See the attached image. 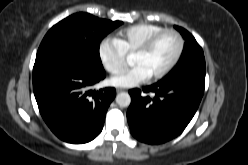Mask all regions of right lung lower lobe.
I'll return each mask as SVG.
<instances>
[{
    "mask_svg": "<svg viewBox=\"0 0 248 165\" xmlns=\"http://www.w3.org/2000/svg\"><path fill=\"white\" fill-rule=\"evenodd\" d=\"M105 76V71H95L80 54L72 51L35 61L34 95L44 121L58 138L82 144L99 135L116 91L89 88Z\"/></svg>",
    "mask_w": 248,
    "mask_h": 165,
    "instance_id": "1",
    "label": "right lung lower lobe"
}]
</instances>
